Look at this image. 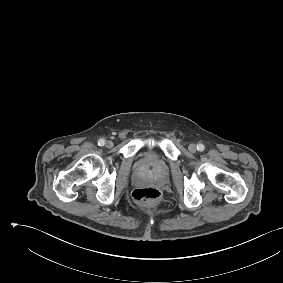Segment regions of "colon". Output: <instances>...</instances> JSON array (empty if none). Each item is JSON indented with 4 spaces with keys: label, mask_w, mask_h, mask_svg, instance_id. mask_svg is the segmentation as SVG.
<instances>
[{
    "label": "colon",
    "mask_w": 283,
    "mask_h": 283,
    "mask_svg": "<svg viewBox=\"0 0 283 283\" xmlns=\"http://www.w3.org/2000/svg\"><path fill=\"white\" fill-rule=\"evenodd\" d=\"M133 199L142 205H151L158 202L161 193L154 187H142L133 191Z\"/></svg>",
    "instance_id": "5ec220e1"
}]
</instances>
